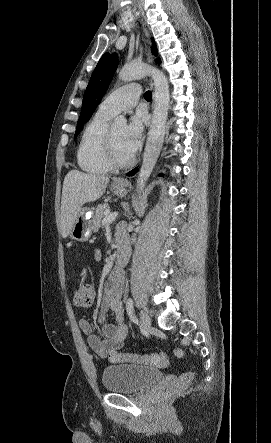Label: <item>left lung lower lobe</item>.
<instances>
[{
  "label": "left lung lower lobe",
  "mask_w": 271,
  "mask_h": 443,
  "mask_svg": "<svg viewBox=\"0 0 271 443\" xmlns=\"http://www.w3.org/2000/svg\"><path fill=\"white\" fill-rule=\"evenodd\" d=\"M157 62L160 63V60H158ZM136 171L137 169H133L132 171L129 172V175L130 176L134 175Z\"/></svg>",
  "instance_id": "1"
}]
</instances>
